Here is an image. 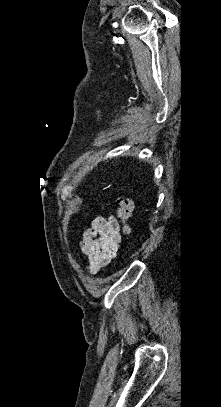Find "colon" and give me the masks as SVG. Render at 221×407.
<instances>
[{
  "label": "colon",
  "instance_id": "colon-1",
  "mask_svg": "<svg viewBox=\"0 0 221 407\" xmlns=\"http://www.w3.org/2000/svg\"><path fill=\"white\" fill-rule=\"evenodd\" d=\"M117 203H118V215L125 222L124 232L125 234H130L132 232V229L128 224V221L132 217L134 211V203L131 199L126 197H120Z\"/></svg>",
  "mask_w": 221,
  "mask_h": 407
}]
</instances>
